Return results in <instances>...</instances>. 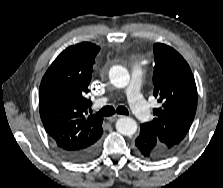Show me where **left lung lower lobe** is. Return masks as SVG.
<instances>
[{
  "mask_svg": "<svg viewBox=\"0 0 223 188\" xmlns=\"http://www.w3.org/2000/svg\"><path fill=\"white\" fill-rule=\"evenodd\" d=\"M135 151L138 155L151 160H160L168 157V151L159 145L156 137L141 125L140 134L135 140Z\"/></svg>",
  "mask_w": 223,
  "mask_h": 188,
  "instance_id": "left-lung-lower-lobe-1",
  "label": "left lung lower lobe"
}]
</instances>
